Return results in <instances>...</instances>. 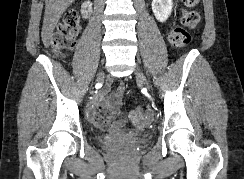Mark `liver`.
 I'll return each instance as SVG.
<instances>
[{"instance_id":"1","label":"liver","mask_w":244,"mask_h":179,"mask_svg":"<svg viewBox=\"0 0 244 179\" xmlns=\"http://www.w3.org/2000/svg\"><path fill=\"white\" fill-rule=\"evenodd\" d=\"M74 0H45V14L41 32L45 48H49L50 38L65 10Z\"/></svg>"}]
</instances>
